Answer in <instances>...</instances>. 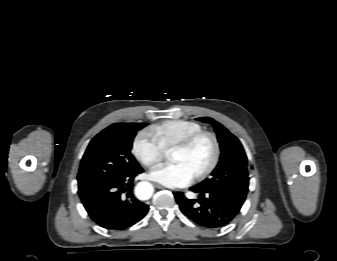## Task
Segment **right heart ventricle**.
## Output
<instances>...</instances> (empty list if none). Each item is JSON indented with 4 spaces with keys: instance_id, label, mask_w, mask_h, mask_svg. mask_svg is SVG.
<instances>
[{
    "instance_id": "e07e8e85",
    "label": "right heart ventricle",
    "mask_w": 337,
    "mask_h": 261,
    "mask_svg": "<svg viewBox=\"0 0 337 261\" xmlns=\"http://www.w3.org/2000/svg\"><path fill=\"white\" fill-rule=\"evenodd\" d=\"M200 124L189 120H167L151 128L166 152L173 150L179 143L190 135L202 131Z\"/></svg>"
}]
</instances>
